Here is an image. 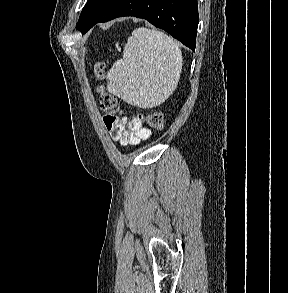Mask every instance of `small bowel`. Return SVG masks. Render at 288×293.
Wrapping results in <instances>:
<instances>
[{
    "label": "small bowel",
    "instance_id": "c3829d8e",
    "mask_svg": "<svg viewBox=\"0 0 288 293\" xmlns=\"http://www.w3.org/2000/svg\"><path fill=\"white\" fill-rule=\"evenodd\" d=\"M103 113L105 128L121 145H138L151 137V131L143 127L139 120L119 117L113 110L103 109Z\"/></svg>",
    "mask_w": 288,
    "mask_h": 293
}]
</instances>
